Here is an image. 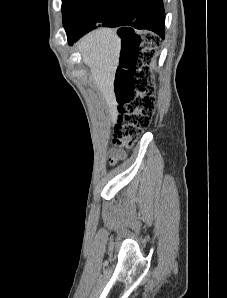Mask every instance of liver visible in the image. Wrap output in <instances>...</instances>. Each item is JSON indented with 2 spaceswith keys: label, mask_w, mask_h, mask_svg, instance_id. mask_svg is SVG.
I'll use <instances>...</instances> for the list:
<instances>
[{
  "label": "liver",
  "mask_w": 227,
  "mask_h": 298,
  "mask_svg": "<svg viewBox=\"0 0 227 298\" xmlns=\"http://www.w3.org/2000/svg\"><path fill=\"white\" fill-rule=\"evenodd\" d=\"M91 78L116 118L114 79L119 63L121 40L113 29L99 28L85 35L77 44Z\"/></svg>",
  "instance_id": "6515ba94"
}]
</instances>
